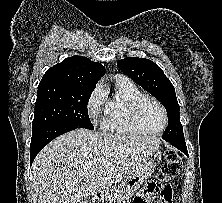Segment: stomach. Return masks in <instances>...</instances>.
<instances>
[{
    "label": "stomach",
    "mask_w": 222,
    "mask_h": 203,
    "mask_svg": "<svg viewBox=\"0 0 222 203\" xmlns=\"http://www.w3.org/2000/svg\"><path fill=\"white\" fill-rule=\"evenodd\" d=\"M154 167V160L149 159L132 176L122 182L119 187L120 198L126 199L131 197L134 192L147 181L151 173L154 171Z\"/></svg>",
    "instance_id": "obj_1"
}]
</instances>
